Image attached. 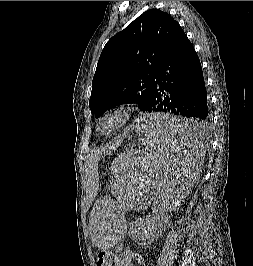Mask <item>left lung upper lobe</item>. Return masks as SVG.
Listing matches in <instances>:
<instances>
[{"instance_id": "5c2ea615", "label": "left lung upper lobe", "mask_w": 253, "mask_h": 266, "mask_svg": "<svg viewBox=\"0 0 253 266\" xmlns=\"http://www.w3.org/2000/svg\"><path fill=\"white\" fill-rule=\"evenodd\" d=\"M176 24L168 13L150 9L106 43L89 101L96 118L126 103H137L143 112L147 111L157 63Z\"/></svg>"}]
</instances>
